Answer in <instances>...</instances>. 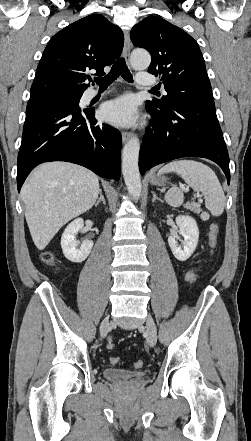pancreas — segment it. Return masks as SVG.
I'll return each instance as SVG.
<instances>
[{
	"label": "pancreas",
	"mask_w": 251,
	"mask_h": 441,
	"mask_svg": "<svg viewBox=\"0 0 251 441\" xmlns=\"http://www.w3.org/2000/svg\"><path fill=\"white\" fill-rule=\"evenodd\" d=\"M184 207L196 214H199L202 210L200 208V205L197 203H187L184 205Z\"/></svg>",
	"instance_id": "1"
}]
</instances>
